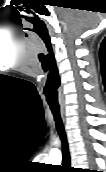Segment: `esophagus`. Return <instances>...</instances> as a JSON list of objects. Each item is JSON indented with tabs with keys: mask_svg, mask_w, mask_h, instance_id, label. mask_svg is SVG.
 <instances>
[{
	"mask_svg": "<svg viewBox=\"0 0 106 172\" xmlns=\"http://www.w3.org/2000/svg\"><path fill=\"white\" fill-rule=\"evenodd\" d=\"M61 116H62V118L64 120V111L63 110H61Z\"/></svg>",
	"mask_w": 106,
	"mask_h": 172,
	"instance_id": "esophagus-1",
	"label": "esophagus"
}]
</instances>
